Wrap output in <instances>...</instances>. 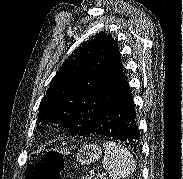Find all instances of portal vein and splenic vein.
<instances>
[{
    "mask_svg": "<svg viewBox=\"0 0 183 179\" xmlns=\"http://www.w3.org/2000/svg\"><path fill=\"white\" fill-rule=\"evenodd\" d=\"M105 175H106V173H104V172L99 174L100 177L105 176Z\"/></svg>",
    "mask_w": 183,
    "mask_h": 179,
    "instance_id": "1",
    "label": "portal vein and splenic vein"
}]
</instances>
